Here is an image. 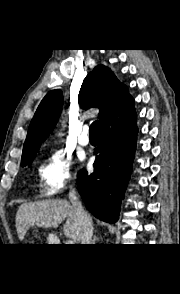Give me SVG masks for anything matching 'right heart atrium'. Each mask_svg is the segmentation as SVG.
I'll return each instance as SVG.
<instances>
[{
    "mask_svg": "<svg viewBox=\"0 0 180 294\" xmlns=\"http://www.w3.org/2000/svg\"><path fill=\"white\" fill-rule=\"evenodd\" d=\"M38 176L41 193L47 197L55 196L74 183L71 157L64 150H51L39 164Z\"/></svg>",
    "mask_w": 180,
    "mask_h": 294,
    "instance_id": "1",
    "label": "right heart atrium"
}]
</instances>
